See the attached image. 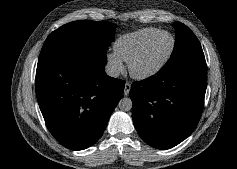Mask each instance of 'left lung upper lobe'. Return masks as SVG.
I'll use <instances>...</instances> for the list:
<instances>
[{"mask_svg": "<svg viewBox=\"0 0 237 169\" xmlns=\"http://www.w3.org/2000/svg\"><path fill=\"white\" fill-rule=\"evenodd\" d=\"M174 27L176 31L174 50L162 69L171 71L191 61L205 60L201 45L194 33L180 22H175Z\"/></svg>", "mask_w": 237, "mask_h": 169, "instance_id": "5c2ea615", "label": "left lung upper lobe"}]
</instances>
